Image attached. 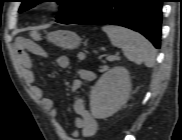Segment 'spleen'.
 <instances>
[{
    "label": "spleen",
    "mask_w": 182,
    "mask_h": 140,
    "mask_svg": "<svg viewBox=\"0 0 182 140\" xmlns=\"http://www.w3.org/2000/svg\"><path fill=\"white\" fill-rule=\"evenodd\" d=\"M102 29L108 35L111 43L121 48L130 61L138 65L144 63L147 67L154 66L156 51L141 34L115 25H107Z\"/></svg>",
    "instance_id": "spleen-1"
}]
</instances>
